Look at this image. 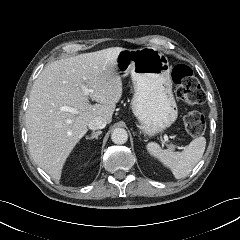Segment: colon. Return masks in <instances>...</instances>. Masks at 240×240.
Returning <instances> with one entry per match:
<instances>
[{
  "label": "colon",
  "instance_id": "5ec220e1",
  "mask_svg": "<svg viewBox=\"0 0 240 240\" xmlns=\"http://www.w3.org/2000/svg\"><path fill=\"white\" fill-rule=\"evenodd\" d=\"M171 78L176 85L177 97L188 105H198L205 99L204 91L194 72L187 65H176L171 71ZM186 131L198 136L205 129V118L197 111H190L183 118Z\"/></svg>",
  "mask_w": 240,
  "mask_h": 240
}]
</instances>
